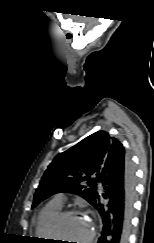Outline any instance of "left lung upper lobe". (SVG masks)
Masks as SVG:
<instances>
[{
  "label": "left lung upper lobe",
  "instance_id": "obj_1",
  "mask_svg": "<svg viewBox=\"0 0 154 243\" xmlns=\"http://www.w3.org/2000/svg\"><path fill=\"white\" fill-rule=\"evenodd\" d=\"M119 147L123 149L117 139L99 131L58 154L41 179L32 207L58 192L75 193L92 204L100 192L97 180L104 163Z\"/></svg>",
  "mask_w": 154,
  "mask_h": 243
}]
</instances>
